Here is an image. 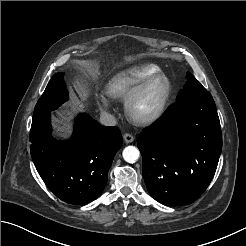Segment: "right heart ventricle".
Instances as JSON below:
<instances>
[{
  "mask_svg": "<svg viewBox=\"0 0 246 246\" xmlns=\"http://www.w3.org/2000/svg\"><path fill=\"white\" fill-rule=\"evenodd\" d=\"M160 72V67L151 63L126 68L111 77L106 86L107 93L114 99L126 98L143 80Z\"/></svg>",
  "mask_w": 246,
  "mask_h": 246,
  "instance_id": "right-heart-ventricle-1",
  "label": "right heart ventricle"
}]
</instances>
